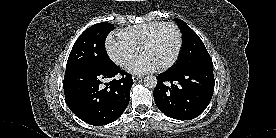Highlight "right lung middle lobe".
Wrapping results in <instances>:
<instances>
[{
  "label": "right lung middle lobe",
  "instance_id": "obj_1",
  "mask_svg": "<svg viewBox=\"0 0 276 138\" xmlns=\"http://www.w3.org/2000/svg\"><path fill=\"white\" fill-rule=\"evenodd\" d=\"M114 29L111 23H98L85 30L70 52L66 70L78 66L108 67L113 64L105 51L107 35Z\"/></svg>",
  "mask_w": 276,
  "mask_h": 138
}]
</instances>
